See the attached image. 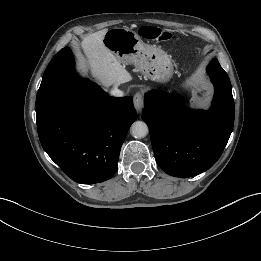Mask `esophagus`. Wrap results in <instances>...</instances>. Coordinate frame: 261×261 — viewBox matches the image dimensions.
I'll return each mask as SVG.
<instances>
[{"instance_id":"1","label":"esophagus","mask_w":261,"mask_h":261,"mask_svg":"<svg viewBox=\"0 0 261 261\" xmlns=\"http://www.w3.org/2000/svg\"><path fill=\"white\" fill-rule=\"evenodd\" d=\"M133 102L136 111L140 113L144 107V96L141 93H136Z\"/></svg>"}]
</instances>
